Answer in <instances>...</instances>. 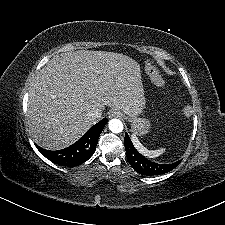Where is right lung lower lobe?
Wrapping results in <instances>:
<instances>
[{
	"instance_id": "1",
	"label": "right lung lower lobe",
	"mask_w": 225,
	"mask_h": 225,
	"mask_svg": "<svg viewBox=\"0 0 225 225\" xmlns=\"http://www.w3.org/2000/svg\"><path fill=\"white\" fill-rule=\"evenodd\" d=\"M108 122L107 118L93 125L77 142L62 150H45L35 145L50 161L62 166H78L87 161L94 153L98 138Z\"/></svg>"
}]
</instances>
